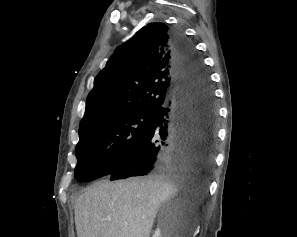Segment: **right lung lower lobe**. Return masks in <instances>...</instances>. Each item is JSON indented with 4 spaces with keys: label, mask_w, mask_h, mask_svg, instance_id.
Segmentation results:
<instances>
[{
    "label": "right lung lower lobe",
    "mask_w": 297,
    "mask_h": 237,
    "mask_svg": "<svg viewBox=\"0 0 297 237\" xmlns=\"http://www.w3.org/2000/svg\"><path fill=\"white\" fill-rule=\"evenodd\" d=\"M171 42L179 87L154 111L145 137L105 174L112 181L160 173L208 174L213 166L216 108L208 75L181 31L172 30Z\"/></svg>",
    "instance_id": "obj_1"
}]
</instances>
